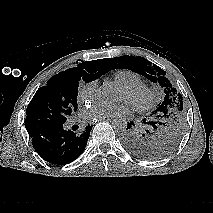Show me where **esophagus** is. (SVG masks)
Masks as SVG:
<instances>
[{
  "label": "esophagus",
  "instance_id": "esophagus-1",
  "mask_svg": "<svg viewBox=\"0 0 213 213\" xmlns=\"http://www.w3.org/2000/svg\"><path fill=\"white\" fill-rule=\"evenodd\" d=\"M116 118L114 117H108V118H104V119H99V121H102V120H108V121H113L115 120Z\"/></svg>",
  "mask_w": 213,
  "mask_h": 213
}]
</instances>
